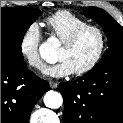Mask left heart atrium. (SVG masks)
I'll list each match as a JSON object with an SVG mask.
<instances>
[{
  "label": "left heart atrium",
  "mask_w": 123,
  "mask_h": 123,
  "mask_svg": "<svg viewBox=\"0 0 123 123\" xmlns=\"http://www.w3.org/2000/svg\"><path fill=\"white\" fill-rule=\"evenodd\" d=\"M72 73H74V69L65 60H59L56 64L48 67L45 70V74L53 78L65 77Z\"/></svg>",
  "instance_id": "obj_1"
}]
</instances>
